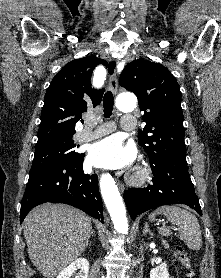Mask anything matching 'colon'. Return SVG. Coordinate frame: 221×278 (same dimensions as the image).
Here are the masks:
<instances>
[{
	"label": "colon",
	"instance_id": "5ec220e1",
	"mask_svg": "<svg viewBox=\"0 0 221 278\" xmlns=\"http://www.w3.org/2000/svg\"><path fill=\"white\" fill-rule=\"evenodd\" d=\"M176 255L185 267L187 273L186 278H194V262L192 258L187 254L183 247L177 246L175 248Z\"/></svg>",
	"mask_w": 221,
	"mask_h": 278
}]
</instances>
